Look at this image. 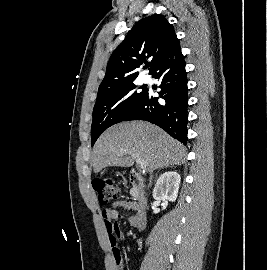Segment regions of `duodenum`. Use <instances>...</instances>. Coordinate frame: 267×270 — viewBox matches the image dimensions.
Masks as SVG:
<instances>
[{
	"instance_id": "410a0bca",
	"label": "duodenum",
	"mask_w": 267,
	"mask_h": 270,
	"mask_svg": "<svg viewBox=\"0 0 267 270\" xmlns=\"http://www.w3.org/2000/svg\"><path fill=\"white\" fill-rule=\"evenodd\" d=\"M129 179L137 190V206L143 208L147 203L146 183L143 177L132 170L129 173Z\"/></svg>"
}]
</instances>
